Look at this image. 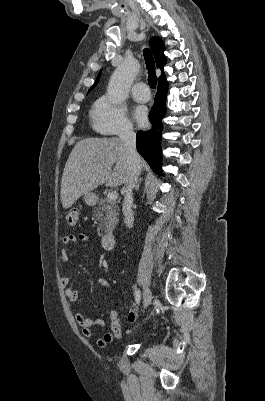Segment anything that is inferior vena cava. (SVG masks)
Segmentation results:
<instances>
[{
  "instance_id": "1",
  "label": "inferior vena cava",
  "mask_w": 265,
  "mask_h": 401,
  "mask_svg": "<svg viewBox=\"0 0 265 401\" xmlns=\"http://www.w3.org/2000/svg\"><path fill=\"white\" fill-rule=\"evenodd\" d=\"M124 146V150L127 152L128 162L130 164V176L123 188L124 201H123V215L125 217L124 223L131 229L134 223L132 205H133V188L138 180V176L141 172V160L136 150V132L133 130L132 124H124L119 134Z\"/></svg>"
}]
</instances>
